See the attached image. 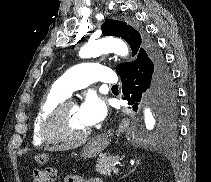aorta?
<instances>
[{"label":"aorta","instance_id":"1","mask_svg":"<svg viewBox=\"0 0 211 182\" xmlns=\"http://www.w3.org/2000/svg\"><path fill=\"white\" fill-rule=\"evenodd\" d=\"M113 52L119 56L125 57L129 50L127 44L118 38L106 37L95 41H89L79 51L81 58H90L103 53ZM145 125L148 130L154 129L156 125V116L150 108L144 110Z\"/></svg>","mask_w":211,"mask_h":182}]
</instances>
